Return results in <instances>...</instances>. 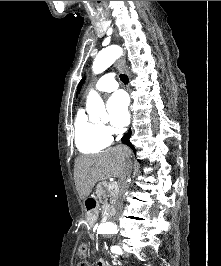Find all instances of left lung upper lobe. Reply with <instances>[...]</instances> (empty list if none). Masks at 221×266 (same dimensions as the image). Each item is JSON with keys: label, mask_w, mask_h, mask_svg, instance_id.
I'll list each match as a JSON object with an SVG mask.
<instances>
[{"label": "left lung upper lobe", "mask_w": 221, "mask_h": 266, "mask_svg": "<svg viewBox=\"0 0 221 266\" xmlns=\"http://www.w3.org/2000/svg\"><path fill=\"white\" fill-rule=\"evenodd\" d=\"M84 81H85V78H83V79L80 81V83H79V85H78V88H77V94L80 92L81 87H82V84L84 83Z\"/></svg>", "instance_id": "1"}]
</instances>
